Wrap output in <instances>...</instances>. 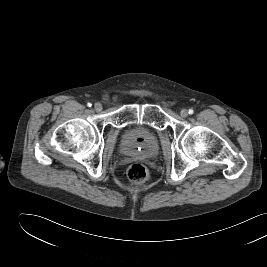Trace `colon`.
I'll list each match as a JSON object with an SVG mask.
<instances>
[{
	"mask_svg": "<svg viewBox=\"0 0 267 267\" xmlns=\"http://www.w3.org/2000/svg\"><path fill=\"white\" fill-rule=\"evenodd\" d=\"M128 179L135 184H142L150 177L149 168L142 163H133L127 169Z\"/></svg>",
	"mask_w": 267,
	"mask_h": 267,
	"instance_id": "1",
	"label": "colon"
}]
</instances>
